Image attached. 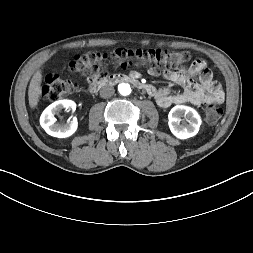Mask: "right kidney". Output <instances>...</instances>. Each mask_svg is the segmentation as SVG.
<instances>
[{"label": "right kidney", "instance_id": "obj_1", "mask_svg": "<svg viewBox=\"0 0 253 253\" xmlns=\"http://www.w3.org/2000/svg\"><path fill=\"white\" fill-rule=\"evenodd\" d=\"M62 108H76V104L71 100H58L49 105L42 113L40 117V124L47 134L58 137L66 138L71 136L78 127V122L76 118L68 121L66 124L56 123L54 117L55 114L59 113Z\"/></svg>", "mask_w": 253, "mask_h": 253}]
</instances>
